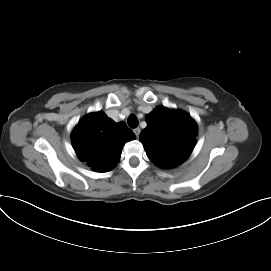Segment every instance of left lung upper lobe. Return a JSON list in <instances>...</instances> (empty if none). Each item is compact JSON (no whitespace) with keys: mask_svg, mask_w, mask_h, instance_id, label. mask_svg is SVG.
<instances>
[{"mask_svg":"<svg viewBox=\"0 0 271 271\" xmlns=\"http://www.w3.org/2000/svg\"><path fill=\"white\" fill-rule=\"evenodd\" d=\"M146 122L140 141L157 166L173 168L189 157L195 146L197 126L187 113L161 106L146 116Z\"/></svg>","mask_w":271,"mask_h":271,"instance_id":"5c2ea615","label":"left lung upper lobe"}]
</instances>
